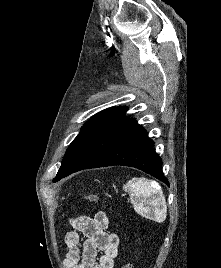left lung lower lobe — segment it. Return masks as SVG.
Listing matches in <instances>:
<instances>
[{"label":"left lung lower lobe","mask_w":221,"mask_h":268,"mask_svg":"<svg viewBox=\"0 0 221 268\" xmlns=\"http://www.w3.org/2000/svg\"><path fill=\"white\" fill-rule=\"evenodd\" d=\"M153 144L135 119L122 116L104 129L57 181L82 169L123 165L143 170L169 185Z\"/></svg>","instance_id":"0a47b994"}]
</instances>
